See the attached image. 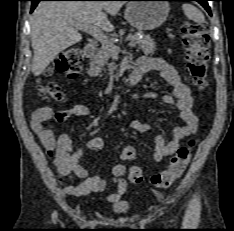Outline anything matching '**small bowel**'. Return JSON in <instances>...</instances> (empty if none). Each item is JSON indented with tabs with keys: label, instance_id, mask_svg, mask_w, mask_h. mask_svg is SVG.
<instances>
[{
	"label": "small bowel",
	"instance_id": "1",
	"mask_svg": "<svg viewBox=\"0 0 234 231\" xmlns=\"http://www.w3.org/2000/svg\"><path fill=\"white\" fill-rule=\"evenodd\" d=\"M137 64L145 65L149 70L159 71L162 77L172 86V95L159 96L157 93L148 91L142 95L145 100H156L161 98L165 103L174 105L179 111L183 125L176 126L172 130V139L166 142L163 135L154 138L153 159L157 162L173 155L180 147L181 141L198 131V119L192 110L193 99L190 88L182 81L179 71L169 62L159 57L145 56L138 60ZM148 70V71H149ZM89 108L83 104H77L71 109L53 111L48 107L36 109L30 119L32 130L40 138L47 154L53 158L57 168L58 178L63 184L65 194L81 197L92 193H99L106 189V182L99 176L90 175L89 171L80 162L87 151H100L106 141L103 137H92L78 150L73 151L72 140L68 135L55 137L50 121L63 122L70 116H87ZM131 127L140 133L150 130V125L139 120H132ZM75 174L80 180L77 185L69 184L66 177ZM126 167L115 164L112 167L113 183L116 190L107 197L108 201L115 203L126 192L127 183L124 180Z\"/></svg>",
	"mask_w": 234,
	"mask_h": 231
}]
</instances>
